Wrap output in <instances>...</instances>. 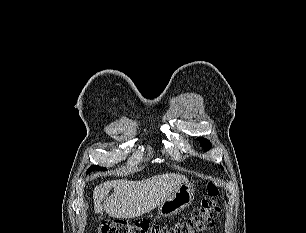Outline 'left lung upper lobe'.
Returning a JSON list of instances; mask_svg holds the SVG:
<instances>
[{"mask_svg":"<svg viewBox=\"0 0 306 233\" xmlns=\"http://www.w3.org/2000/svg\"><path fill=\"white\" fill-rule=\"evenodd\" d=\"M198 140H199L201 146L204 148L205 151H208L211 148V143L208 139H205L203 137H199Z\"/></svg>","mask_w":306,"mask_h":233,"instance_id":"5c2ea615","label":"left lung upper lobe"}]
</instances>
